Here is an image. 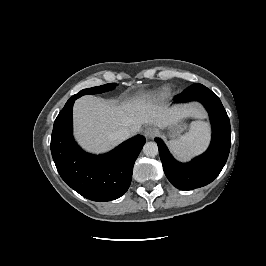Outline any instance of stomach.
Returning a JSON list of instances; mask_svg holds the SVG:
<instances>
[{
  "label": "stomach",
  "mask_w": 266,
  "mask_h": 266,
  "mask_svg": "<svg viewBox=\"0 0 266 266\" xmlns=\"http://www.w3.org/2000/svg\"><path fill=\"white\" fill-rule=\"evenodd\" d=\"M186 128L187 125L182 119H179L167 127V136L171 139H175L179 137Z\"/></svg>",
  "instance_id": "0dacf381"
}]
</instances>
